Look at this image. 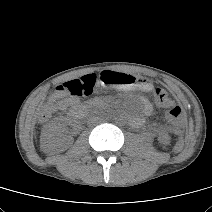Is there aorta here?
<instances>
[{
  "label": "aorta",
  "instance_id": "1",
  "mask_svg": "<svg viewBox=\"0 0 212 212\" xmlns=\"http://www.w3.org/2000/svg\"><path fill=\"white\" fill-rule=\"evenodd\" d=\"M116 121L117 123H122L124 120H123V117L120 116L119 118L116 119Z\"/></svg>",
  "mask_w": 212,
  "mask_h": 212
}]
</instances>
